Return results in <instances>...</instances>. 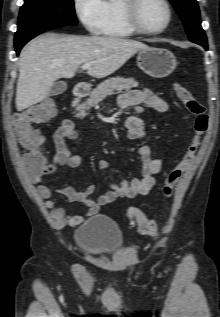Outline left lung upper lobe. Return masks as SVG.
I'll list each match as a JSON object with an SVG mask.
<instances>
[{
	"label": "left lung upper lobe",
	"mask_w": 220,
	"mask_h": 317,
	"mask_svg": "<svg viewBox=\"0 0 220 317\" xmlns=\"http://www.w3.org/2000/svg\"><path fill=\"white\" fill-rule=\"evenodd\" d=\"M183 20L189 39L194 43H206V35L201 27L199 8L196 0H170Z\"/></svg>",
	"instance_id": "5c2ea615"
}]
</instances>
